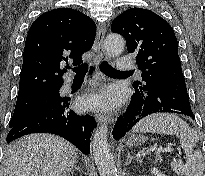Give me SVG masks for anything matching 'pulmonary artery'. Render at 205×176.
Masks as SVG:
<instances>
[{"label":"pulmonary artery","mask_w":205,"mask_h":176,"mask_svg":"<svg viewBox=\"0 0 205 176\" xmlns=\"http://www.w3.org/2000/svg\"><path fill=\"white\" fill-rule=\"evenodd\" d=\"M135 64L132 62L131 57L129 55L123 54L118 59L117 69L120 71H133L135 68ZM69 86V83L65 85V88Z\"/></svg>","instance_id":"e3ab8cb5"}]
</instances>
